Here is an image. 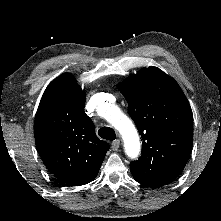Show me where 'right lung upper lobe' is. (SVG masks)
I'll list each match as a JSON object with an SVG mask.
<instances>
[{
  "instance_id": "1",
  "label": "right lung upper lobe",
  "mask_w": 221,
  "mask_h": 221,
  "mask_svg": "<svg viewBox=\"0 0 221 221\" xmlns=\"http://www.w3.org/2000/svg\"><path fill=\"white\" fill-rule=\"evenodd\" d=\"M84 106L85 92L71 74L64 73L46 88L34 122L44 164L69 186L92 181L109 150V144L97 138Z\"/></svg>"
}]
</instances>
